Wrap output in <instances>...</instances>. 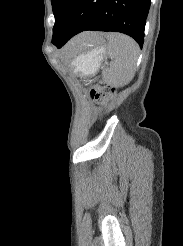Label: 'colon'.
Instances as JSON below:
<instances>
[{
  "instance_id": "obj_1",
  "label": "colon",
  "mask_w": 183,
  "mask_h": 246,
  "mask_svg": "<svg viewBox=\"0 0 183 246\" xmlns=\"http://www.w3.org/2000/svg\"><path fill=\"white\" fill-rule=\"evenodd\" d=\"M114 93V88H111L109 86H95L91 85L90 86V98L99 103V104H104L109 97L112 96Z\"/></svg>"
}]
</instances>
